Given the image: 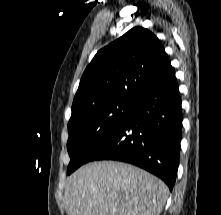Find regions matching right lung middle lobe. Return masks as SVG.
<instances>
[{
    "mask_svg": "<svg viewBox=\"0 0 221 215\" xmlns=\"http://www.w3.org/2000/svg\"><path fill=\"white\" fill-rule=\"evenodd\" d=\"M132 104L133 101L127 100H106L72 107L68 123V174L87 162L93 150L131 110Z\"/></svg>",
    "mask_w": 221,
    "mask_h": 215,
    "instance_id": "obj_1",
    "label": "right lung middle lobe"
}]
</instances>
